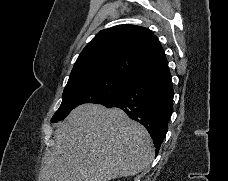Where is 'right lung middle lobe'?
<instances>
[{"label":"right lung middle lobe","mask_w":228,"mask_h":181,"mask_svg":"<svg viewBox=\"0 0 228 181\" xmlns=\"http://www.w3.org/2000/svg\"><path fill=\"white\" fill-rule=\"evenodd\" d=\"M130 80L131 78L127 77L99 74L68 82L63 92V101L51 121L63 120L72 109L81 104H100L112 99Z\"/></svg>","instance_id":"1"}]
</instances>
